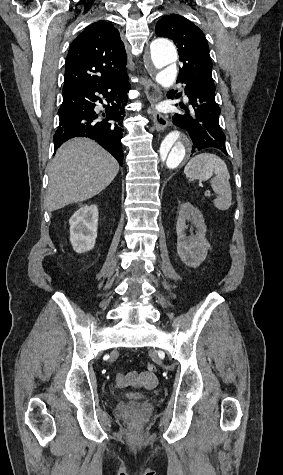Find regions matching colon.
<instances>
[{"mask_svg":"<svg viewBox=\"0 0 283 475\" xmlns=\"http://www.w3.org/2000/svg\"><path fill=\"white\" fill-rule=\"evenodd\" d=\"M157 371V366L154 363H149L147 365V373L154 376V373Z\"/></svg>","mask_w":283,"mask_h":475,"instance_id":"1","label":"colon"}]
</instances>
